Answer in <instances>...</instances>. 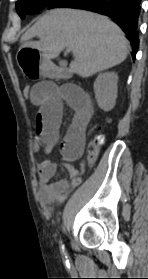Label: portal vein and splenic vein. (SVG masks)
Instances as JSON below:
<instances>
[{
    "label": "portal vein and splenic vein",
    "mask_w": 148,
    "mask_h": 279,
    "mask_svg": "<svg viewBox=\"0 0 148 279\" xmlns=\"http://www.w3.org/2000/svg\"><path fill=\"white\" fill-rule=\"evenodd\" d=\"M70 51H71V49H70V48H67V49H66V52H67V53H69Z\"/></svg>",
    "instance_id": "18ae733b"
}]
</instances>
